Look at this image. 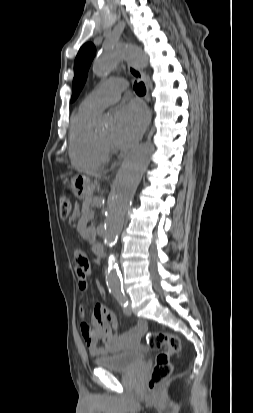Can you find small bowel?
<instances>
[{"instance_id":"obj_1","label":"small bowel","mask_w":253,"mask_h":413,"mask_svg":"<svg viewBox=\"0 0 253 413\" xmlns=\"http://www.w3.org/2000/svg\"><path fill=\"white\" fill-rule=\"evenodd\" d=\"M74 261L77 266L76 278L78 289L83 292L88 287V276L90 267L85 255L76 250ZM80 314L84 316V309L81 307ZM147 330V323L138 320L136 324L126 331L119 333L118 322L115 316L103 305L96 304L94 307L91 324L81 323V333L88 349L92 355L116 353L138 344ZM102 342V345L99 344Z\"/></svg>"}]
</instances>
